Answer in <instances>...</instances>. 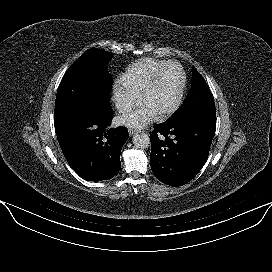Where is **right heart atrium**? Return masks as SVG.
Listing matches in <instances>:
<instances>
[{"mask_svg": "<svg viewBox=\"0 0 272 272\" xmlns=\"http://www.w3.org/2000/svg\"><path fill=\"white\" fill-rule=\"evenodd\" d=\"M113 96L117 109L122 113L131 110L139 99V94L126 88L122 83L115 84Z\"/></svg>", "mask_w": 272, "mask_h": 272, "instance_id": "right-heart-atrium-1", "label": "right heart atrium"}]
</instances>
